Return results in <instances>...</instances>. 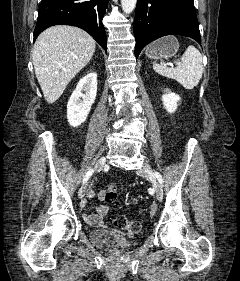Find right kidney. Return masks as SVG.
I'll return each mask as SVG.
<instances>
[{"label": "right kidney", "mask_w": 240, "mask_h": 281, "mask_svg": "<svg viewBox=\"0 0 240 281\" xmlns=\"http://www.w3.org/2000/svg\"><path fill=\"white\" fill-rule=\"evenodd\" d=\"M96 93L97 74L91 72L80 79L68 101L67 119L72 127H78L87 119L91 106L96 99Z\"/></svg>", "instance_id": "obj_1"}]
</instances>
